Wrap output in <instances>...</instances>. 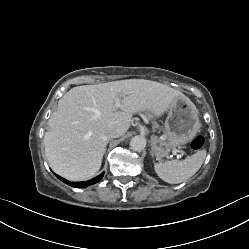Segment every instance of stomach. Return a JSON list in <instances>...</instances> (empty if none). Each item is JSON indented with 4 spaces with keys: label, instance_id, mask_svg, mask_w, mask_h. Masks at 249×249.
<instances>
[{
    "label": "stomach",
    "instance_id": "0dacf381",
    "mask_svg": "<svg viewBox=\"0 0 249 249\" xmlns=\"http://www.w3.org/2000/svg\"><path fill=\"white\" fill-rule=\"evenodd\" d=\"M200 128L198 111L185 97L178 96L169 107L163 136H153L151 152L163 158L174 147L180 148L190 142Z\"/></svg>",
    "mask_w": 249,
    "mask_h": 249
}]
</instances>
